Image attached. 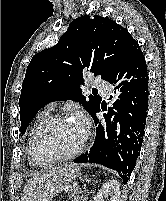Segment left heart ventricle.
<instances>
[{"instance_id": "left-heart-ventricle-1", "label": "left heart ventricle", "mask_w": 166, "mask_h": 201, "mask_svg": "<svg viewBox=\"0 0 166 201\" xmlns=\"http://www.w3.org/2000/svg\"><path fill=\"white\" fill-rule=\"evenodd\" d=\"M83 137L72 121L59 122L47 129L40 139V152L43 158L48 155H61L74 151Z\"/></svg>"}]
</instances>
